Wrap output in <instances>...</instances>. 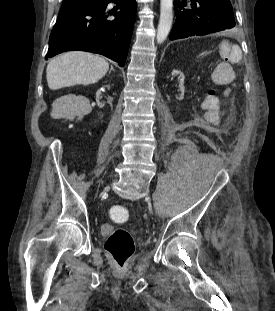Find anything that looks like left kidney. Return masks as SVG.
Listing matches in <instances>:
<instances>
[{"instance_id": "5707ae66", "label": "left kidney", "mask_w": 275, "mask_h": 311, "mask_svg": "<svg viewBox=\"0 0 275 311\" xmlns=\"http://www.w3.org/2000/svg\"><path fill=\"white\" fill-rule=\"evenodd\" d=\"M177 75H179V81L180 82H172V89H180V94L178 96H176V98L178 100H182L184 98V92H185V88H184V74L180 71H176L174 70L172 72V74L170 75V78L172 80H175L177 78Z\"/></svg>"}]
</instances>
